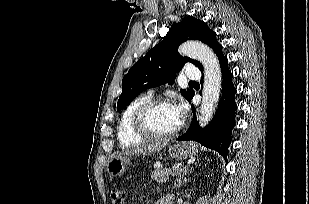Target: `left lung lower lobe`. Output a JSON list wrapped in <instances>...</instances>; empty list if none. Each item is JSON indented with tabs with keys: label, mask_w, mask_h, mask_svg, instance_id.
Listing matches in <instances>:
<instances>
[{
	"label": "left lung lower lobe",
	"mask_w": 309,
	"mask_h": 204,
	"mask_svg": "<svg viewBox=\"0 0 309 204\" xmlns=\"http://www.w3.org/2000/svg\"><path fill=\"white\" fill-rule=\"evenodd\" d=\"M216 55L219 59L223 83L222 97L215 116L208 126L201 128L196 120L195 108L191 105L193 110L192 124L189 129L176 140L197 141L201 145L219 152L226 158L228 146L231 143V131L235 125L234 113L237 106L234 97L236 94V89L232 83L233 75L228 68V60L222 53V46Z\"/></svg>",
	"instance_id": "obj_1"
}]
</instances>
